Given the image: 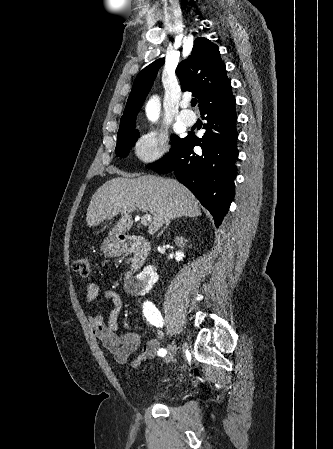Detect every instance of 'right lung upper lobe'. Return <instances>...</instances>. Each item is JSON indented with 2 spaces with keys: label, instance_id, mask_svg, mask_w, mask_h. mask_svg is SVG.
Listing matches in <instances>:
<instances>
[{
  "label": "right lung upper lobe",
  "instance_id": "right-lung-upper-lobe-1",
  "mask_svg": "<svg viewBox=\"0 0 333 449\" xmlns=\"http://www.w3.org/2000/svg\"><path fill=\"white\" fill-rule=\"evenodd\" d=\"M162 64H164V58L157 59L139 72L134 80L120 123L129 121L135 123L137 113ZM176 75L182 90L191 91L192 95L198 99L199 109L220 93L231 89V82L226 75L225 64L221 60L218 46L203 37L195 39L191 55L179 63Z\"/></svg>",
  "mask_w": 333,
  "mask_h": 449
}]
</instances>
